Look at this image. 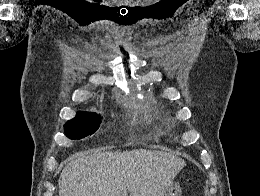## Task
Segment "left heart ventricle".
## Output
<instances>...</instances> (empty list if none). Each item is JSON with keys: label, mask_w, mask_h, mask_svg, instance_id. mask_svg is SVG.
<instances>
[{"label": "left heart ventricle", "mask_w": 260, "mask_h": 196, "mask_svg": "<svg viewBox=\"0 0 260 196\" xmlns=\"http://www.w3.org/2000/svg\"><path fill=\"white\" fill-rule=\"evenodd\" d=\"M116 190H87V192H115Z\"/></svg>", "instance_id": "obj_1"}]
</instances>
